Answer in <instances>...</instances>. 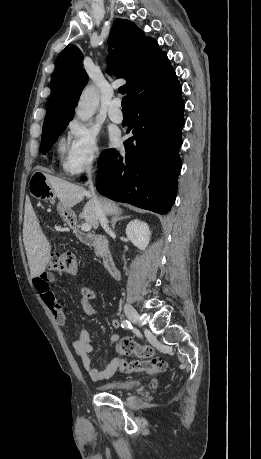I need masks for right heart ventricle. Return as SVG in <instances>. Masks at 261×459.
<instances>
[{"instance_id": "e07e8e85", "label": "right heart ventricle", "mask_w": 261, "mask_h": 459, "mask_svg": "<svg viewBox=\"0 0 261 459\" xmlns=\"http://www.w3.org/2000/svg\"><path fill=\"white\" fill-rule=\"evenodd\" d=\"M68 145L66 144V142L64 140H61L58 144V148H57V152L60 156H65L67 155L68 153Z\"/></svg>"}]
</instances>
